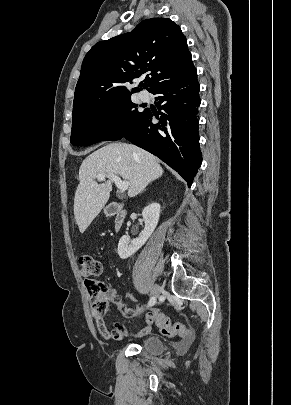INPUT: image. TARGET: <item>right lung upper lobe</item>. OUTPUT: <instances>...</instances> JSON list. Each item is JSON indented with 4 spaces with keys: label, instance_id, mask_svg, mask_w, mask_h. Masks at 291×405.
<instances>
[{
    "label": "right lung upper lobe",
    "instance_id": "obj_1",
    "mask_svg": "<svg viewBox=\"0 0 291 405\" xmlns=\"http://www.w3.org/2000/svg\"><path fill=\"white\" fill-rule=\"evenodd\" d=\"M148 73L141 87L160 85L196 73L181 28L168 18L140 22L131 32L96 43L86 54L75 89L73 113L87 106L130 96L126 88Z\"/></svg>",
    "mask_w": 291,
    "mask_h": 405
}]
</instances>
